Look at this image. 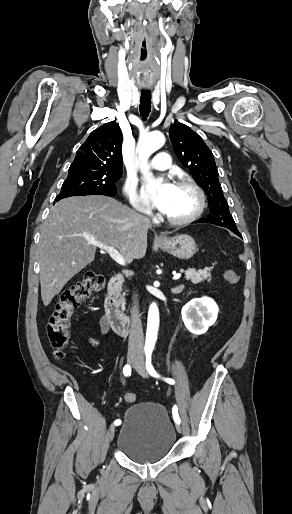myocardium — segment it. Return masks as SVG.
Segmentation results:
<instances>
[{
	"label": "myocardium",
	"mask_w": 292,
	"mask_h": 514,
	"mask_svg": "<svg viewBox=\"0 0 292 514\" xmlns=\"http://www.w3.org/2000/svg\"><path fill=\"white\" fill-rule=\"evenodd\" d=\"M177 187L188 188L195 194L196 205L194 210L187 216L181 218H175L163 213L164 218L171 224L183 225L195 220L203 211L204 208V194L200 186L191 179H181L176 184Z\"/></svg>",
	"instance_id": "myocardium-1"
}]
</instances>
